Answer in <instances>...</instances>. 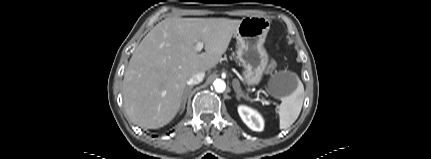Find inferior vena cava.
I'll use <instances>...</instances> for the list:
<instances>
[{
    "label": "inferior vena cava",
    "mask_w": 431,
    "mask_h": 159,
    "mask_svg": "<svg viewBox=\"0 0 431 159\" xmlns=\"http://www.w3.org/2000/svg\"><path fill=\"white\" fill-rule=\"evenodd\" d=\"M205 77V72L199 71L191 74L189 79L187 80V85H196L203 81Z\"/></svg>",
    "instance_id": "1"
}]
</instances>
